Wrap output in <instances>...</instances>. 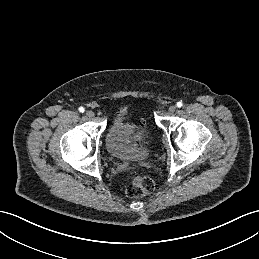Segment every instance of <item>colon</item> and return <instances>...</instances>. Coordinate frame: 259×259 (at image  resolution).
Returning <instances> with one entry per match:
<instances>
[{
  "label": "colon",
  "mask_w": 259,
  "mask_h": 259,
  "mask_svg": "<svg viewBox=\"0 0 259 259\" xmlns=\"http://www.w3.org/2000/svg\"><path fill=\"white\" fill-rule=\"evenodd\" d=\"M154 190V182L148 176H142L135 172L129 174L126 188L127 196L140 198L150 194Z\"/></svg>",
  "instance_id": "obj_1"
}]
</instances>
